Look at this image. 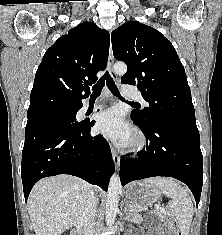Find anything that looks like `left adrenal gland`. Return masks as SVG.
Wrapping results in <instances>:
<instances>
[{"instance_id": "obj_1", "label": "left adrenal gland", "mask_w": 222, "mask_h": 235, "mask_svg": "<svg viewBox=\"0 0 222 235\" xmlns=\"http://www.w3.org/2000/svg\"><path fill=\"white\" fill-rule=\"evenodd\" d=\"M129 210H128V208H127V206H125V208H124V212L126 213V214H129V212H128Z\"/></svg>"}]
</instances>
